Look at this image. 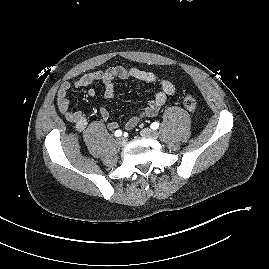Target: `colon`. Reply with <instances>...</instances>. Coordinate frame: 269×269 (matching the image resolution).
I'll return each instance as SVG.
<instances>
[{"label":"colon","instance_id":"colon-1","mask_svg":"<svg viewBox=\"0 0 269 269\" xmlns=\"http://www.w3.org/2000/svg\"><path fill=\"white\" fill-rule=\"evenodd\" d=\"M183 104L185 108L190 111H194L197 107L195 98L191 94H185L183 97Z\"/></svg>","mask_w":269,"mask_h":269}]
</instances>
